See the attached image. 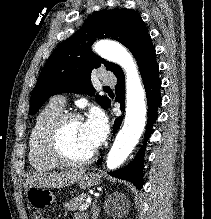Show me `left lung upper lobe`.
Returning a JSON list of instances; mask_svg holds the SVG:
<instances>
[{
  "mask_svg": "<svg viewBox=\"0 0 211 219\" xmlns=\"http://www.w3.org/2000/svg\"><path fill=\"white\" fill-rule=\"evenodd\" d=\"M148 37L144 21L134 10L122 8L95 13L48 59L32 91L29 113H37L44 102L55 94L71 92L94 95L95 90L89 83L94 68L104 65L114 74L121 70L120 66L107 62L91 51L96 39H115L135 56ZM96 99L104 109L110 106L106 96H96Z\"/></svg>",
  "mask_w": 211,
  "mask_h": 219,
  "instance_id": "1",
  "label": "left lung upper lobe"
}]
</instances>
